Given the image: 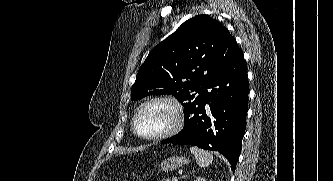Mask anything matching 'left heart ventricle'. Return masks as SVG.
Wrapping results in <instances>:
<instances>
[{"label": "left heart ventricle", "mask_w": 333, "mask_h": 181, "mask_svg": "<svg viewBox=\"0 0 333 181\" xmlns=\"http://www.w3.org/2000/svg\"><path fill=\"white\" fill-rule=\"evenodd\" d=\"M174 122L170 105L156 102L145 107L136 122L138 132L143 136H154L169 129Z\"/></svg>", "instance_id": "obj_1"}]
</instances>
